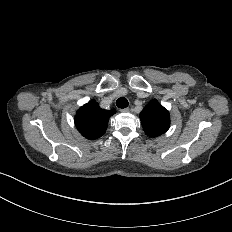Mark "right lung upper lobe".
Instances as JSON below:
<instances>
[{"label":"right lung upper lobe","mask_w":232,"mask_h":232,"mask_svg":"<svg viewBox=\"0 0 232 232\" xmlns=\"http://www.w3.org/2000/svg\"><path fill=\"white\" fill-rule=\"evenodd\" d=\"M114 113V109H101L96 100L92 99L76 112L75 125L85 138L96 139L105 133L108 119Z\"/></svg>","instance_id":"cb5924a9"}]
</instances>
